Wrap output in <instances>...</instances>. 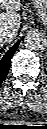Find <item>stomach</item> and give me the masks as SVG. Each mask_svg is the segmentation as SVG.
I'll return each instance as SVG.
<instances>
[{"label": "stomach", "instance_id": "obj_1", "mask_svg": "<svg viewBox=\"0 0 47 129\" xmlns=\"http://www.w3.org/2000/svg\"><path fill=\"white\" fill-rule=\"evenodd\" d=\"M37 10L39 21L47 25V0H32Z\"/></svg>", "mask_w": 47, "mask_h": 129}]
</instances>
